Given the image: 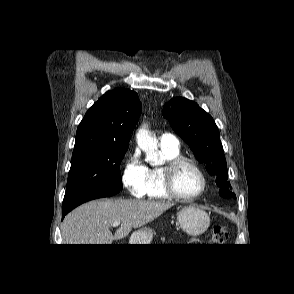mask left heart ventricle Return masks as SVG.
Instances as JSON below:
<instances>
[{
	"instance_id": "obj_1",
	"label": "left heart ventricle",
	"mask_w": 294,
	"mask_h": 294,
	"mask_svg": "<svg viewBox=\"0 0 294 294\" xmlns=\"http://www.w3.org/2000/svg\"><path fill=\"white\" fill-rule=\"evenodd\" d=\"M175 186L179 193L185 196H191L200 190L202 181L198 173L191 166L184 165L176 174Z\"/></svg>"
}]
</instances>
